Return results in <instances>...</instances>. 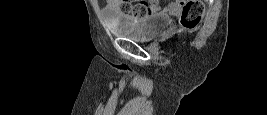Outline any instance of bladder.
<instances>
[{"instance_id": "31cf9c89", "label": "bladder", "mask_w": 267, "mask_h": 115, "mask_svg": "<svg viewBox=\"0 0 267 115\" xmlns=\"http://www.w3.org/2000/svg\"><path fill=\"white\" fill-rule=\"evenodd\" d=\"M171 24V17L164 13L144 14L135 23L110 25V30L123 38L145 42L158 36Z\"/></svg>"}]
</instances>
